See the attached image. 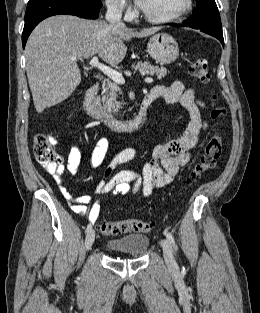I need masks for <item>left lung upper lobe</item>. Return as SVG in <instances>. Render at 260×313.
Returning a JSON list of instances; mask_svg holds the SVG:
<instances>
[{"instance_id":"1","label":"left lung upper lobe","mask_w":260,"mask_h":313,"mask_svg":"<svg viewBox=\"0 0 260 313\" xmlns=\"http://www.w3.org/2000/svg\"><path fill=\"white\" fill-rule=\"evenodd\" d=\"M197 8L191 18L187 19L193 28L202 32L222 33L221 19L215 0H196Z\"/></svg>"}]
</instances>
